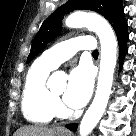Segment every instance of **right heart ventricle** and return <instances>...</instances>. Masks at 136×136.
Returning <instances> with one entry per match:
<instances>
[{
	"label": "right heart ventricle",
	"mask_w": 136,
	"mask_h": 136,
	"mask_svg": "<svg viewBox=\"0 0 136 136\" xmlns=\"http://www.w3.org/2000/svg\"><path fill=\"white\" fill-rule=\"evenodd\" d=\"M52 69L39 59L26 75L21 107L25 118L32 123H49L56 114V100L46 85Z\"/></svg>",
	"instance_id": "1"
}]
</instances>
